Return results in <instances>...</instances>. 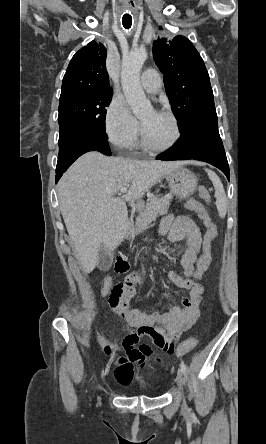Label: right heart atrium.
<instances>
[{"instance_id": "1", "label": "right heart atrium", "mask_w": 266, "mask_h": 444, "mask_svg": "<svg viewBox=\"0 0 266 444\" xmlns=\"http://www.w3.org/2000/svg\"><path fill=\"white\" fill-rule=\"evenodd\" d=\"M104 127L109 141L119 149L132 147L140 132L138 120L120 96H114L107 107Z\"/></svg>"}]
</instances>
